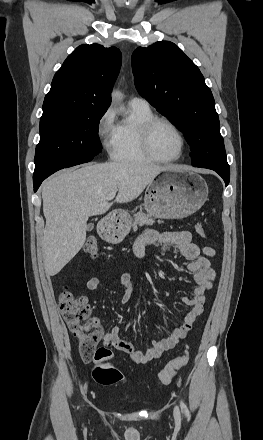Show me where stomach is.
I'll use <instances>...</instances> for the list:
<instances>
[{
    "mask_svg": "<svg viewBox=\"0 0 263 440\" xmlns=\"http://www.w3.org/2000/svg\"><path fill=\"white\" fill-rule=\"evenodd\" d=\"M207 197L208 186L201 176L185 169H167L147 187L144 207L149 216L183 219L200 209ZM120 217L104 234L111 243H120L129 233L127 214L121 212Z\"/></svg>",
    "mask_w": 263,
    "mask_h": 440,
    "instance_id": "stomach-1",
    "label": "stomach"
}]
</instances>
